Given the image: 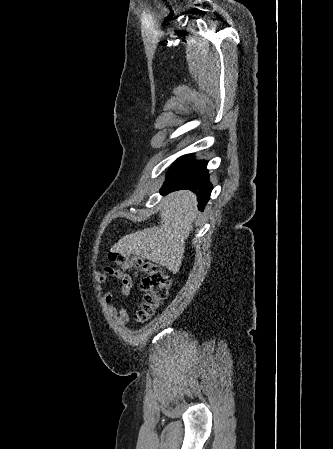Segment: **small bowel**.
<instances>
[{
    "label": "small bowel",
    "mask_w": 333,
    "mask_h": 449,
    "mask_svg": "<svg viewBox=\"0 0 333 449\" xmlns=\"http://www.w3.org/2000/svg\"><path fill=\"white\" fill-rule=\"evenodd\" d=\"M113 276L118 279L121 283L120 292L121 295L127 297L132 289L133 281L129 274L124 272L123 270L113 268L111 266H105L102 272H97L95 274V279L98 282V290L101 295V299L107 308L108 312L117 320V322L121 325H124L128 322L129 316L127 311L122 308L117 310L113 305V290L110 289L108 291H104L101 284H103L107 276Z\"/></svg>",
    "instance_id": "obj_1"
}]
</instances>
